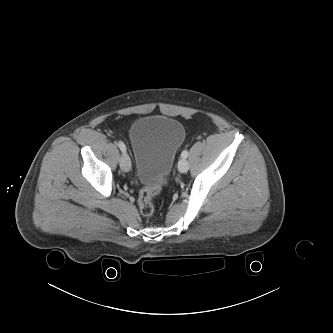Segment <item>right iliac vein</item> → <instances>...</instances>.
<instances>
[{"mask_svg":"<svg viewBox=\"0 0 333 333\" xmlns=\"http://www.w3.org/2000/svg\"><path fill=\"white\" fill-rule=\"evenodd\" d=\"M120 167L123 171L129 172L131 170V160L127 153H124L120 157Z\"/></svg>","mask_w":333,"mask_h":333,"instance_id":"1","label":"right iliac vein"}]
</instances>
